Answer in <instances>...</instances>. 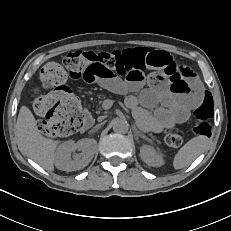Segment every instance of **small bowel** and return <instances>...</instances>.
Here are the masks:
<instances>
[{"label": "small bowel", "mask_w": 231, "mask_h": 231, "mask_svg": "<svg viewBox=\"0 0 231 231\" xmlns=\"http://www.w3.org/2000/svg\"><path fill=\"white\" fill-rule=\"evenodd\" d=\"M155 54L164 53L150 49ZM187 74L193 93L175 92L162 70L151 66L127 75L123 80L112 69L103 65H90L82 78L117 94H127L126 105L140 124L151 131L160 132L189 119L190 110L201 101L202 85L192 70L182 67ZM147 85V88L145 86Z\"/></svg>", "instance_id": "c3829d8e"}]
</instances>
